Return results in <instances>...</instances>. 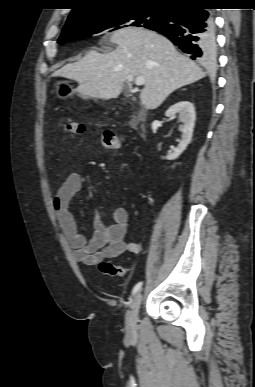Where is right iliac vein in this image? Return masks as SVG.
I'll use <instances>...</instances> for the list:
<instances>
[{
	"label": "right iliac vein",
	"instance_id": "63e3f726",
	"mask_svg": "<svg viewBox=\"0 0 255 387\" xmlns=\"http://www.w3.org/2000/svg\"><path fill=\"white\" fill-rule=\"evenodd\" d=\"M142 300H143V295L141 291H139L134 296L130 310L126 314L125 325H126L127 333L130 336H133L136 332L138 312H139V308L142 303Z\"/></svg>",
	"mask_w": 255,
	"mask_h": 387
}]
</instances>
